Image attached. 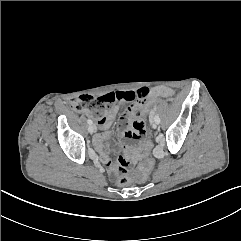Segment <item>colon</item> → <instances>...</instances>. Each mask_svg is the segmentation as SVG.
<instances>
[{
    "label": "colon",
    "mask_w": 241,
    "mask_h": 241,
    "mask_svg": "<svg viewBox=\"0 0 241 241\" xmlns=\"http://www.w3.org/2000/svg\"><path fill=\"white\" fill-rule=\"evenodd\" d=\"M117 99L112 94H107L102 97L93 96H80L71 101V107L78 112H85L92 115L95 119L100 120L106 117L110 111L112 104L116 103ZM164 102L168 105L174 104L173 98H165ZM155 107L154 101L146 102L141 104L139 108V118L142 122L148 121L147 111ZM151 141L149 139H144L141 143V155L143 157H148L150 155ZM130 161L126 156H120L115 164L117 172L122 175L118 178L117 183L120 186H125L130 183V178L125 174L128 171ZM148 165L143 170V176L147 174Z\"/></svg>",
    "instance_id": "1"
}]
</instances>
